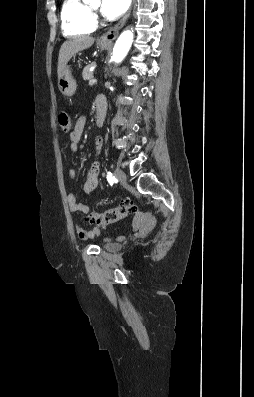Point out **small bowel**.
Wrapping results in <instances>:
<instances>
[{"label":"small bowel","instance_id":"1","mask_svg":"<svg viewBox=\"0 0 254 397\" xmlns=\"http://www.w3.org/2000/svg\"><path fill=\"white\" fill-rule=\"evenodd\" d=\"M85 125H86V117L85 116H80L75 122L74 128L70 133L69 149L72 153L77 152L79 149V142H80V139L84 132ZM95 146H96V158L93 161V163L88 171L87 179L84 184V191L87 194L93 193L97 189L98 185L100 184V178H99L100 162H99L98 158L100 156L101 149H102V139L101 138L96 139ZM69 176H70L71 180H74L76 178V171L74 169H70ZM67 201H68L69 208L72 212H75V213L81 212V213H85V214H88L90 212V208L87 205L78 202L75 195L72 193H70L67 196ZM145 221H146L145 217L142 215H139V217L137 218V220L134 224V229L135 230L139 229L141 226L144 225ZM75 232H76L77 237L81 240L91 239V238H94L100 234V230L97 227L90 229V230H86V229L82 228L81 226H79L78 224L75 225Z\"/></svg>","mask_w":254,"mask_h":397}]
</instances>
